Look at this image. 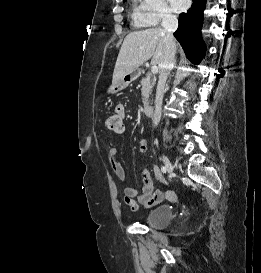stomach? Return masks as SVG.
<instances>
[{"instance_id":"obj_1","label":"stomach","mask_w":261,"mask_h":273,"mask_svg":"<svg viewBox=\"0 0 261 273\" xmlns=\"http://www.w3.org/2000/svg\"><path fill=\"white\" fill-rule=\"evenodd\" d=\"M140 74V70L136 69L133 72L126 74L122 79H120L118 81V83L116 85H111L108 88V93H115L119 90L124 89L125 87H127L132 81H134L135 79H137V77Z\"/></svg>"}]
</instances>
